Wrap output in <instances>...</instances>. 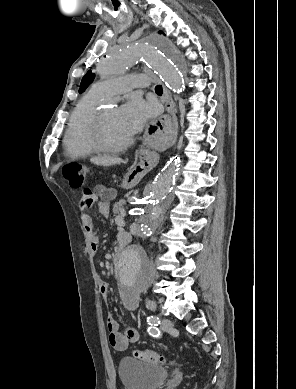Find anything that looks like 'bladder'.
<instances>
[{"instance_id":"31cf9c89","label":"bladder","mask_w":296,"mask_h":389,"mask_svg":"<svg viewBox=\"0 0 296 389\" xmlns=\"http://www.w3.org/2000/svg\"><path fill=\"white\" fill-rule=\"evenodd\" d=\"M118 374L124 389H157L168 378L166 368L131 357L120 360Z\"/></svg>"}]
</instances>
